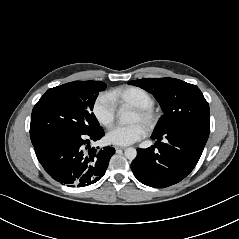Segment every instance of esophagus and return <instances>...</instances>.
I'll use <instances>...</instances> for the list:
<instances>
[{
    "mask_svg": "<svg viewBox=\"0 0 239 239\" xmlns=\"http://www.w3.org/2000/svg\"><path fill=\"white\" fill-rule=\"evenodd\" d=\"M126 147H123V146H115V149L116 150H124Z\"/></svg>",
    "mask_w": 239,
    "mask_h": 239,
    "instance_id": "1",
    "label": "esophagus"
}]
</instances>
